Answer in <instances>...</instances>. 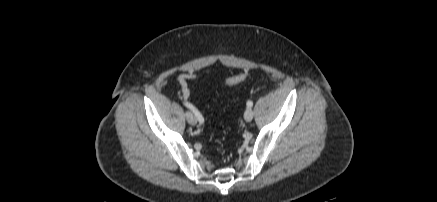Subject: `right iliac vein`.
I'll list each match as a JSON object with an SVG mask.
<instances>
[{
	"label": "right iliac vein",
	"instance_id": "1",
	"mask_svg": "<svg viewBox=\"0 0 437 202\" xmlns=\"http://www.w3.org/2000/svg\"><path fill=\"white\" fill-rule=\"evenodd\" d=\"M186 119L190 125L194 126L197 124V119H196L194 113H192L191 111L186 112Z\"/></svg>",
	"mask_w": 437,
	"mask_h": 202
}]
</instances>
